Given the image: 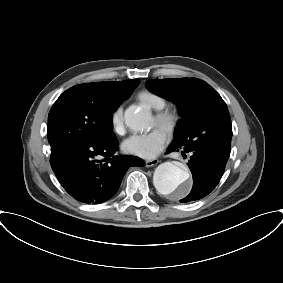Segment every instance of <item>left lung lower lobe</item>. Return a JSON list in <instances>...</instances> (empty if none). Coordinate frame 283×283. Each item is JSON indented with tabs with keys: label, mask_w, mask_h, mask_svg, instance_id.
I'll return each instance as SVG.
<instances>
[{
	"label": "left lung lower lobe",
	"mask_w": 283,
	"mask_h": 283,
	"mask_svg": "<svg viewBox=\"0 0 283 283\" xmlns=\"http://www.w3.org/2000/svg\"><path fill=\"white\" fill-rule=\"evenodd\" d=\"M182 151L183 156H190L188 166L193 176V187L190 194L181 202L198 200L208 195L221 179L229 155L213 154L188 141L173 142L168 152Z\"/></svg>",
	"instance_id": "obj_1"
}]
</instances>
